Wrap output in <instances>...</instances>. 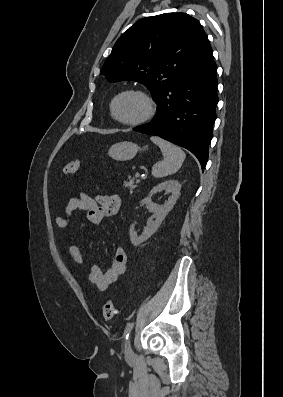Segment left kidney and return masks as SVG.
<instances>
[{
    "label": "left kidney",
    "mask_w": 283,
    "mask_h": 397,
    "mask_svg": "<svg viewBox=\"0 0 283 397\" xmlns=\"http://www.w3.org/2000/svg\"><path fill=\"white\" fill-rule=\"evenodd\" d=\"M165 190L166 193L170 194L168 201L165 202L163 206H159L151 201L150 196L153 194ZM181 190V184L177 180H168L166 182H162L157 186L153 187L150 191L149 196L144 198L141 203L146 204L147 209L153 213L154 221H149L147 226L144 227V230L140 236L137 235L134 230V225L130 226V240L134 246H138L141 243L145 242L148 238L151 237L152 234L156 232L159 228L162 221L165 219L169 211L175 205Z\"/></svg>",
    "instance_id": "obj_1"
}]
</instances>
